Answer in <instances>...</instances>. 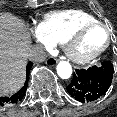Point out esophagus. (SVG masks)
Segmentation results:
<instances>
[{"label": "esophagus", "instance_id": "esophagus-1", "mask_svg": "<svg viewBox=\"0 0 117 117\" xmlns=\"http://www.w3.org/2000/svg\"><path fill=\"white\" fill-rule=\"evenodd\" d=\"M58 60L54 57H49L47 60H46V64L48 66H55L57 64Z\"/></svg>", "mask_w": 117, "mask_h": 117}]
</instances>
